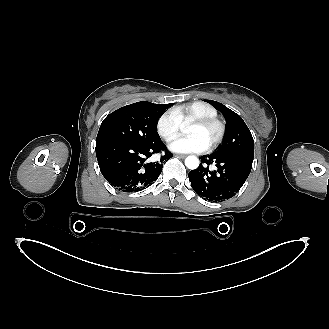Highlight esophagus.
<instances>
[{
  "mask_svg": "<svg viewBox=\"0 0 329 329\" xmlns=\"http://www.w3.org/2000/svg\"><path fill=\"white\" fill-rule=\"evenodd\" d=\"M175 156L178 157V158H185L186 157V155H184V154H176Z\"/></svg>",
  "mask_w": 329,
  "mask_h": 329,
  "instance_id": "34e87169",
  "label": "esophagus"
}]
</instances>
